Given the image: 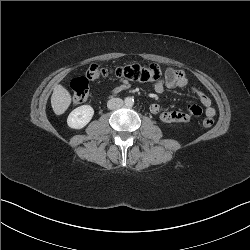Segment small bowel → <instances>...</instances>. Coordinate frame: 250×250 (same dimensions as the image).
<instances>
[{
  "label": "small bowel",
  "instance_id": "c3829d8e",
  "mask_svg": "<svg viewBox=\"0 0 250 250\" xmlns=\"http://www.w3.org/2000/svg\"><path fill=\"white\" fill-rule=\"evenodd\" d=\"M129 87V83L126 80L121 81V85L114 91L126 89ZM187 89L199 100L204 107V112L207 117H213L215 115V109L212 105L211 99L200 89L193 86L184 71L175 68H167L165 71L164 79L154 84L153 89L156 93L162 94L165 89ZM150 112L157 116L158 120L163 124L171 123H187L193 116H199L202 114V108L198 105L188 106L187 112L182 111H162L161 107L154 103L150 106Z\"/></svg>",
  "mask_w": 250,
  "mask_h": 250
}]
</instances>
